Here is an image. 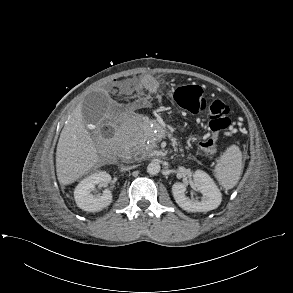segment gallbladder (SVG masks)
Listing matches in <instances>:
<instances>
[{
    "instance_id": "gallbladder-1",
    "label": "gallbladder",
    "mask_w": 293,
    "mask_h": 293,
    "mask_svg": "<svg viewBox=\"0 0 293 293\" xmlns=\"http://www.w3.org/2000/svg\"><path fill=\"white\" fill-rule=\"evenodd\" d=\"M110 105V98L103 92H92L88 94L82 103V116L87 124L96 125L105 115Z\"/></svg>"
}]
</instances>
